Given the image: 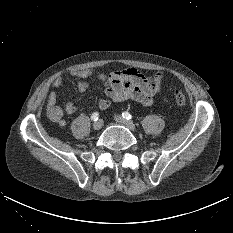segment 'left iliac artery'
I'll use <instances>...</instances> for the list:
<instances>
[{
    "mask_svg": "<svg viewBox=\"0 0 233 233\" xmlns=\"http://www.w3.org/2000/svg\"><path fill=\"white\" fill-rule=\"evenodd\" d=\"M122 117L127 119V120L131 119V115L127 111L122 112Z\"/></svg>",
    "mask_w": 233,
    "mask_h": 233,
    "instance_id": "obj_1",
    "label": "left iliac artery"
}]
</instances>
